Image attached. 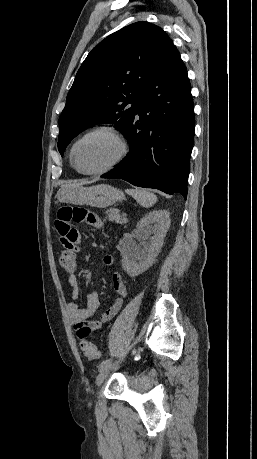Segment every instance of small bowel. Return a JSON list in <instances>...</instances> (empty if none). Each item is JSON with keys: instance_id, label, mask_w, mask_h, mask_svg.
I'll return each mask as SVG.
<instances>
[{"instance_id": "1", "label": "small bowel", "mask_w": 257, "mask_h": 459, "mask_svg": "<svg viewBox=\"0 0 257 459\" xmlns=\"http://www.w3.org/2000/svg\"><path fill=\"white\" fill-rule=\"evenodd\" d=\"M55 230L61 236L60 245L64 251H77L79 257L86 255L82 248V237L79 234V226H87L88 229H102L103 222L97 215V208L92 205H59V211L54 219ZM63 237V238H62ZM103 263L107 267L115 265V257L105 255ZM71 288V298L76 300L80 295V287L76 274L70 273L67 277ZM112 286L117 294L113 304L101 315L98 320H89L99 307V295L96 291L87 294L86 306L80 307L76 302L67 305V313L72 327L80 339L86 338L90 333L97 331L103 324L111 320L121 309L127 295V288L122 276L114 273Z\"/></svg>"}]
</instances>
